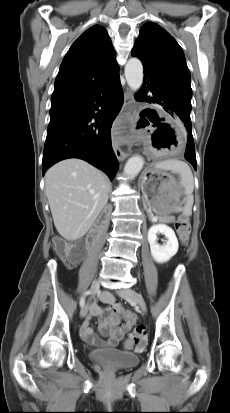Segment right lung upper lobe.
<instances>
[{
	"mask_svg": "<svg viewBox=\"0 0 230 413\" xmlns=\"http://www.w3.org/2000/svg\"><path fill=\"white\" fill-rule=\"evenodd\" d=\"M116 55L105 28L94 25L70 47L55 80L51 102L84 95L117 74Z\"/></svg>",
	"mask_w": 230,
	"mask_h": 413,
	"instance_id": "right-lung-upper-lobe-1",
	"label": "right lung upper lobe"
}]
</instances>
